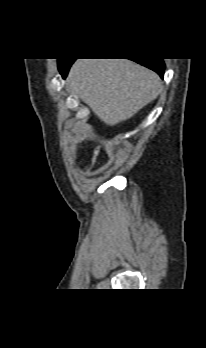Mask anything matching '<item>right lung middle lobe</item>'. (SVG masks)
<instances>
[{
    "label": "right lung middle lobe",
    "mask_w": 206,
    "mask_h": 348,
    "mask_svg": "<svg viewBox=\"0 0 206 348\" xmlns=\"http://www.w3.org/2000/svg\"><path fill=\"white\" fill-rule=\"evenodd\" d=\"M61 63V59H58V64Z\"/></svg>",
    "instance_id": "1"
}]
</instances>
